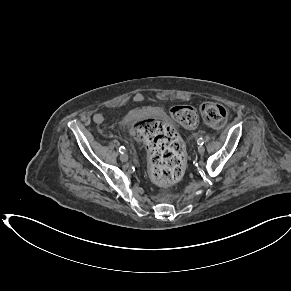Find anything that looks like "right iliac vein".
<instances>
[{
	"label": "right iliac vein",
	"mask_w": 291,
	"mask_h": 291,
	"mask_svg": "<svg viewBox=\"0 0 291 291\" xmlns=\"http://www.w3.org/2000/svg\"><path fill=\"white\" fill-rule=\"evenodd\" d=\"M120 160L122 162H124V163L127 162L128 161V155L126 153L121 154L120 155Z\"/></svg>",
	"instance_id": "obj_1"
}]
</instances>
